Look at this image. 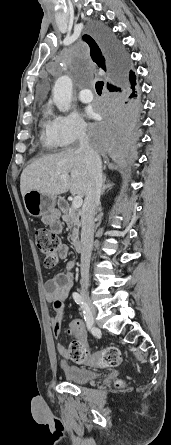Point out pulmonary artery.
Masks as SVG:
<instances>
[{
  "label": "pulmonary artery",
  "mask_w": 171,
  "mask_h": 445,
  "mask_svg": "<svg viewBox=\"0 0 171 445\" xmlns=\"http://www.w3.org/2000/svg\"><path fill=\"white\" fill-rule=\"evenodd\" d=\"M79 99L83 103H90L93 100V94L89 89H83L79 93Z\"/></svg>",
  "instance_id": "obj_1"
}]
</instances>
